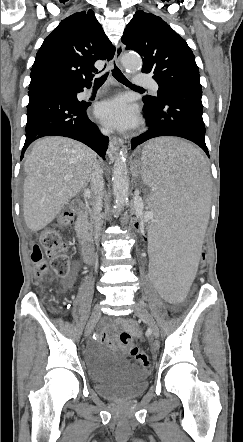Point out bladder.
Returning a JSON list of instances; mask_svg holds the SVG:
<instances>
[{"label":"bladder","mask_w":243,"mask_h":442,"mask_svg":"<svg viewBox=\"0 0 243 442\" xmlns=\"http://www.w3.org/2000/svg\"><path fill=\"white\" fill-rule=\"evenodd\" d=\"M86 367L94 383V390L109 400L133 399L147 388L148 372L125 359L112 358L106 354H92Z\"/></svg>","instance_id":"bladder-1"}]
</instances>
